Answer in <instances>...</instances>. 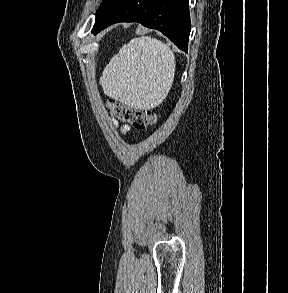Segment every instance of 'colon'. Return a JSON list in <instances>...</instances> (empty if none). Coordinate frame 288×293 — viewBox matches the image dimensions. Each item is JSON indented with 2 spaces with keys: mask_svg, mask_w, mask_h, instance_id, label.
I'll return each mask as SVG.
<instances>
[{
  "mask_svg": "<svg viewBox=\"0 0 288 293\" xmlns=\"http://www.w3.org/2000/svg\"><path fill=\"white\" fill-rule=\"evenodd\" d=\"M109 109L113 116L131 124L136 129H144L158 120V114L151 110L129 107L112 100L109 102Z\"/></svg>",
  "mask_w": 288,
  "mask_h": 293,
  "instance_id": "1",
  "label": "colon"
}]
</instances>
